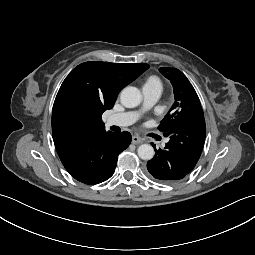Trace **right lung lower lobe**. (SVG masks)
Returning <instances> with one entry per match:
<instances>
[{
	"instance_id": "1",
	"label": "right lung lower lobe",
	"mask_w": 255,
	"mask_h": 255,
	"mask_svg": "<svg viewBox=\"0 0 255 255\" xmlns=\"http://www.w3.org/2000/svg\"><path fill=\"white\" fill-rule=\"evenodd\" d=\"M131 143L129 132L99 131L55 145L66 170L89 185L108 180L115 171L118 155Z\"/></svg>"
}]
</instances>
